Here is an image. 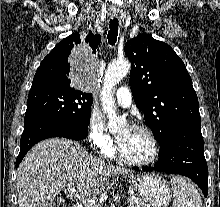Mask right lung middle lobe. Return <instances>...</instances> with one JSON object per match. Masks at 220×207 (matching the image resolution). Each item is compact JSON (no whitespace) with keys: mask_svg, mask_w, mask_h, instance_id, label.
<instances>
[{"mask_svg":"<svg viewBox=\"0 0 220 207\" xmlns=\"http://www.w3.org/2000/svg\"><path fill=\"white\" fill-rule=\"evenodd\" d=\"M92 102V94L74 87L56 85L31 87L24 123L33 118H44L88 126Z\"/></svg>","mask_w":220,"mask_h":207,"instance_id":"dd1d6c3e","label":"right lung middle lobe"}]
</instances>
